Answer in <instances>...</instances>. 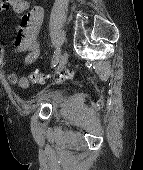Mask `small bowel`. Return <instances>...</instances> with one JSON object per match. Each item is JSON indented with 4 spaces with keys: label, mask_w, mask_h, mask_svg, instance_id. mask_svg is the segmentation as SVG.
Instances as JSON below:
<instances>
[{
    "label": "small bowel",
    "mask_w": 143,
    "mask_h": 170,
    "mask_svg": "<svg viewBox=\"0 0 143 170\" xmlns=\"http://www.w3.org/2000/svg\"><path fill=\"white\" fill-rule=\"evenodd\" d=\"M10 10L16 14H22L20 23L15 29L13 44L18 53H24V63H34L40 54L39 44L37 41L41 29L44 10L40 6L29 7L26 0H4L0 3V12ZM6 63L2 45H0V68ZM8 83L18 85L20 88H27L29 81L26 77H18L15 73L10 72L5 75ZM22 83L25 85L22 86Z\"/></svg>",
    "instance_id": "small-bowel-1"
}]
</instances>
